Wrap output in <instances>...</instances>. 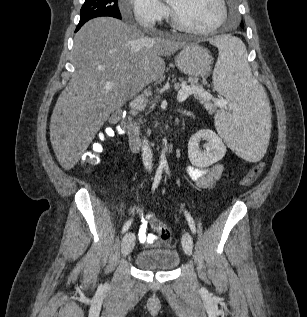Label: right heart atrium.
I'll use <instances>...</instances> for the list:
<instances>
[{
	"label": "right heart atrium",
	"instance_id": "d8ad5b80",
	"mask_svg": "<svg viewBox=\"0 0 307 317\" xmlns=\"http://www.w3.org/2000/svg\"><path fill=\"white\" fill-rule=\"evenodd\" d=\"M134 20L143 27H152L160 23L167 16V8L159 0H129ZM124 17H128L130 10L121 7Z\"/></svg>",
	"mask_w": 307,
	"mask_h": 317
}]
</instances>
